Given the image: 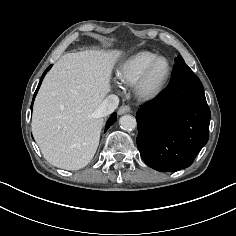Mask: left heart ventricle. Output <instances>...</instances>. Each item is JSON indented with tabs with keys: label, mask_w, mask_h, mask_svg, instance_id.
Here are the masks:
<instances>
[{
	"label": "left heart ventricle",
	"mask_w": 236,
	"mask_h": 236,
	"mask_svg": "<svg viewBox=\"0 0 236 236\" xmlns=\"http://www.w3.org/2000/svg\"><path fill=\"white\" fill-rule=\"evenodd\" d=\"M165 72H166V63L160 62L151 74L149 84H148L149 87L154 88L155 86H157L162 80Z\"/></svg>",
	"instance_id": "left-heart-ventricle-1"
}]
</instances>
